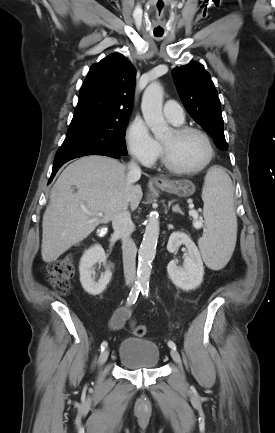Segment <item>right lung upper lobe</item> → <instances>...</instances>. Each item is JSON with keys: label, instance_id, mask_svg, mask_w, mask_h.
<instances>
[{"label": "right lung upper lobe", "instance_id": "right-lung-upper-lobe-1", "mask_svg": "<svg viewBox=\"0 0 275 433\" xmlns=\"http://www.w3.org/2000/svg\"><path fill=\"white\" fill-rule=\"evenodd\" d=\"M135 69L121 54H111L92 65L80 89L72 120L129 118L132 111Z\"/></svg>", "mask_w": 275, "mask_h": 433}]
</instances>
